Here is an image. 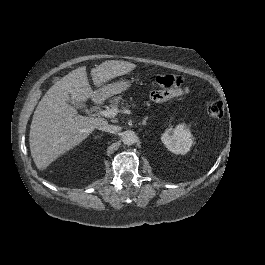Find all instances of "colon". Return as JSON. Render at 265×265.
<instances>
[{"instance_id": "colon-1", "label": "colon", "mask_w": 265, "mask_h": 265, "mask_svg": "<svg viewBox=\"0 0 265 265\" xmlns=\"http://www.w3.org/2000/svg\"><path fill=\"white\" fill-rule=\"evenodd\" d=\"M156 83L165 90H180L183 92L188 90V85L181 77L171 74L157 76ZM224 113L225 107L221 101H215L208 106V114L213 118H221Z\"/></svg>"}]
</instances>
